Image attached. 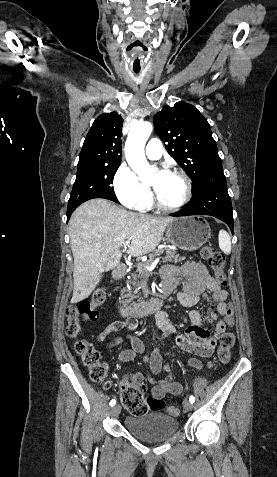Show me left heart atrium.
I'll use <instances>...</instances> for the list:
<instances>
[{
	"instance_id": "obj_1",
	"label": "left heart atrium",
	"mask_w": 277,
	"mask_h": 477,
	"mask_svg": "<svg viewBox=\"0 0 277 477\" xmlns=\"http://www.w3.org/2000/svg\"><path fill=\"white\" fill-rule=\"evenodd\" d=\"M160 173H161V174H165V173H167V172H166V171H161Z\"/></svg>"
}]
</instances>
